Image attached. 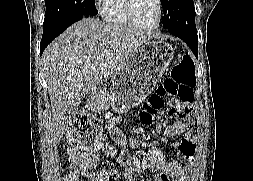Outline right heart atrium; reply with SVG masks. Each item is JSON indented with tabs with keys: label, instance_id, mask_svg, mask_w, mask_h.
Listing matches in <instances>:
<instances>
[{
	"label": "right heart atrium",
	"instance_id": "1",
	"mask_svg": "<svg viewBox=\"0 0 253 181\" xmlns=\"http://www.w3.org/2000/svg\"><path fill=\"white\" fill-rule=\"evenodd\" d=\"M108 0H94L95 7L97 10L103 14L105 5Z\"/></svg>",
	"mask_w": 253,
	"mask_h": 181
}]
</instances>
